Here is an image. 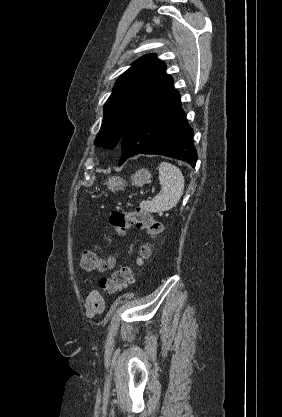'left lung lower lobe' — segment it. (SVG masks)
Listing matches in <instances>:
<instances>
[{"mask_svg":"<svg viewBox=\"0 0 282 417\" xmlns=\"http://www.w3.org/2000/svg\"><path fill=\"white\" fill-rule=\"evenodd\" d=\"M119 165L137 154H156L183 160L195 167L193 130L181 107L170 75L132 112L120 140Z\"/></svg>","mask_w":282,"mask_h":417,"instance_id":"1","label":"left lung lower lobe"}]
</instances>
